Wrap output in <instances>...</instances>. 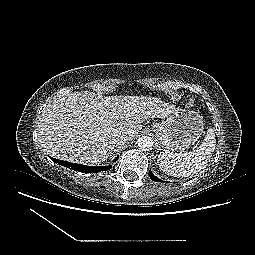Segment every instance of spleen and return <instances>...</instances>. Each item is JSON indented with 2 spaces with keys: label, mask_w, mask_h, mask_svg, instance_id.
Wrapping results in <instances>:
<instances>
[{
  "label": "spleen",
  "mask_w": 255,
  "mask_h": 255,
  "mask_svg": "<svg viewBox=\"0 0 255 255\" xmlns=\"http://www.w3.org/2000/svg\"><path fill=\"white\" fill-rule=\"evenodd\" d=\"M215 133L212 128L207 130L202 144L191 152L173 153L168 150L158 156L159 167L174 177H189L200 172L210 160L215 150Z\"/></svg>",
  "instance_id": "obj_1"
}]
</instances>
